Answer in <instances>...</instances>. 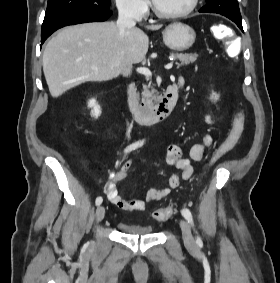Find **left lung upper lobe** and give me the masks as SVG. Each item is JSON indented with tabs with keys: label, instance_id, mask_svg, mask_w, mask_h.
Wrapping results in <instances>:
<instances>
[{
	"label": "left lung upper lobe",
	"instance_id": "5c2ea615",
	"mask_svg": "<svg viewBox=\"0 0 280 283\" xmlns=\"http://www.w3.org/2000/svg\"><path fill=\"white\" fill-rule=\"evenodd\" d=\"M206 3L199 12L218 13L227 18L241 19L237 0H206Z\"/></svg>",
	"mask_w": 280,
	"mask_h": 283
}]
</instances>
